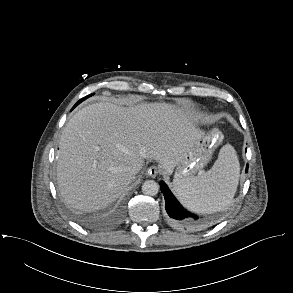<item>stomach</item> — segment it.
I'll list each match as a JSON object with an SVG mask.
<instances>
[{"label":"stomach","mask_w":293,"mask_h":293,"mask_svg":"<svg viewBox=\"0 0 293 293\" xmlns=\"http://www.w3.org/2000/svg\"><path fill=\"white\" fill-rule=\"evenodd\" d=\"M222 137L221 132L217 129H212L203 135L177 163L173 181L174 187L179 181L194 177L209 162Z\"/></svg>","instance_id":"stomach-1"}]
</instances>
